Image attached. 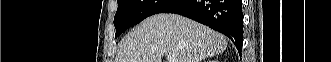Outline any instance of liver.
<instances>
[{
  "label": "liver",
  "instance_id": "obj_1",
  "mask_svg": "<svg viewBox=\"0 0 331 62\" xmlns=\"http://www.w3.org/2000/svg\"><path fill=\"white\" fill-rule=\"evenodd\" d=\"M227 44L222 34L198 22L176 14H157L123 38L115 62H162L166 54H174L176 62H201L222 54Z\"/></svg>",
  "mask_w": 331,
  "mask_h": 62
}]
</instances>
